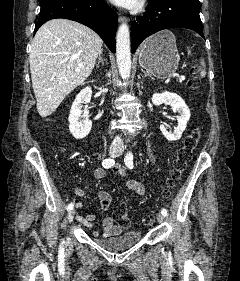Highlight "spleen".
I'll return each mask as SVG.
<instances>
[{"label":"spleen","mask_w":240,"mask_h":281,"mask_svg":"<svg viewBox=\"0 0 240 281\" xmlns=\"http://www.w3.org/2000/svg\"><path fill=\"white\" fill-rule=\"evenodd\" d=\"M201 65L203 66L204 69L201 71L200 75H201L202 77H205L206 71H205V63H204V60H202Z\"/></svg>","instance_id":"1"}]
</instances>
